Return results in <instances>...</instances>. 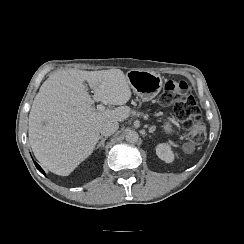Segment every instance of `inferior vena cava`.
<instances>
[{
  "label": "inferior vena cava",
  "instance_id": "1",
  "mask_svg": "<svg viewBox=\"0 0 244 244\" xmlns=\"http://www.w3.org/2000/svg\"><path fill=\"white\" fill-rule=\"evenodd\" d=\"M119 128L117 121H106L99 126V132L102 136H110L114 134Z\"/></svg>",
  "mask_w": 244,
  "mask_h": 244
}]
</instances>
